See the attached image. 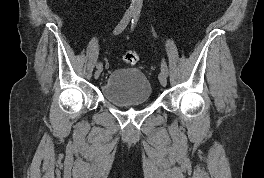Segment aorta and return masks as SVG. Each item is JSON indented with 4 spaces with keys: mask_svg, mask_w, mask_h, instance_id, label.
Listing matches in <instances>:
<instances>
[{
    "mask_svg": "<svg viewBox=\"0 0 264 178\" xmlns=\"http://www.w3.org/2000/svg\"><path fill=\"white\" fill-rule=\"evenodd\" d=\"M143 5V0H131V10L140 12Z\"/></svg>",
    "mask_w": 264,
    "mask_h": 178,
    "instance_id": "762f6f07",
    "label": "aorta"
}]
</instances>
